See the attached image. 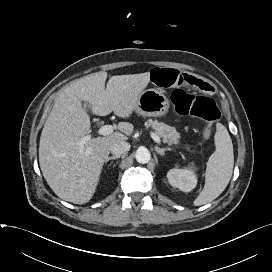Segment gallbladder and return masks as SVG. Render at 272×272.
I'll return each instance as SVG.
<instances>
[{
    "instance_id": "obj_1",
    "label": "gallbladder",
    "mask_w": 272,
    "mask_h": 272,
    "mask_svg": "<svg viewBox=\"0 0 272 272\" xmlns=\"http://www.w3.org/2000/svg\"><path fill=\"white\" fill-rule=\"evenodd\" d=\"M83 105H84V107L86 108V109H90V106H89V104L88 103H83Z\"/></svg>"
}]
</instances>
